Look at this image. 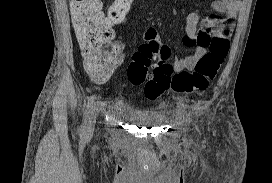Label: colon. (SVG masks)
<instances>
[{"instance_id": "1", "label": "colon", "mask_w": 272, "mask_h": 183, "mask_svg": "<svg viewBox=\"0 0 272 183\" xmlns=\"http://www.w3.org/2000/svg\"><path fill=\"white\" fill-rule=\"evenodd\" d=\"M133 0H113L107 11L101 0H70L74 31L84 59V66L93 79H105L120 63V54L113 42L112 26L122 24ZM209 50L196 63L194 70L175 72L172 65L152 59L167 58L170 50L158 42L143 43L128 67V79L135 86L144 85L146 98L155 100L172 92L188 94L205 91L224 63L228 50L227 35L213 36Z\"/></svg>"}]
</instances>
